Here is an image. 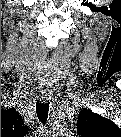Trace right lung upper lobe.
<instances>
[{"instance_id":"1","label":"right lung upper lobe","mask_w":121,"mask_h":137,"mask_svg":"<svg viewBox=\"0 0 121 137\" xmlns=\"http://www.w3.org/2000/svg\"><path fill=\"white\" fill-rule=\"evenodd\" d=\"M25 131L23 120L16 110L1 111V135H22Z\"/></svg>"}]
</instances>
